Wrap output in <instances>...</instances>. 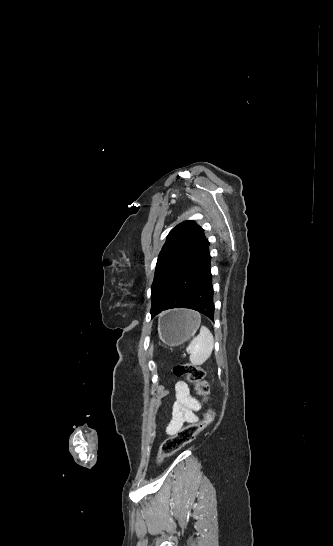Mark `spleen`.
Returning <instances> with one entry per match:
<instances>
[{
  "instance_id": "3e777b00",
  "label": "spleen",
  "mask_w": 333,
  "mask_h": 546,
  "mask_svg": "<svg viewBox=\"0 0 333 546\" xmlns=\"http://www.w3.org/2000/svg\"><path fill=\"white\" fill-rule=\"evenodd\" d=\"M197 314L200 317V314ZM213 348L214 337L207 327L202 326L200 333L190 342L186 350L190 354L191 363L194 366H200L210 358Z\"/></svg>"
}]
</instances>
